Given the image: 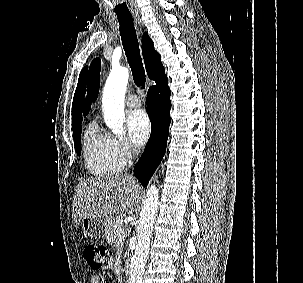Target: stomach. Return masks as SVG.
I'll list each match as a JSON object with an SVG mask.
<instances>
[{"label": "stomach", "mask_w": 303, "mask_h": 283, "mask_svg": "<svg viewBox=\"0 0 303 283\" xmlns=\"http://www.w3.org/2000/svg\"><path fill=\"white\" fill-rule=\"evenodd\" d=\"M113 224L112 218L106 217H85L81 221L85 237L93 239H103L111 231Z\"/></svg>", "instance_id": "0dacf381"}]
</instances>
